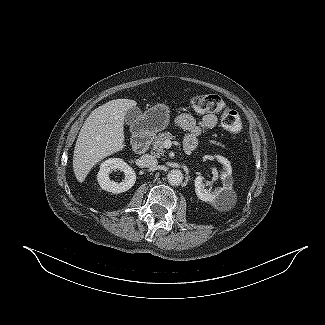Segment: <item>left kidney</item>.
<instances>
[{
    "mask_svg": "<svg viewBox=\"0 0 325 325\" xmlns=\"http://www.w3.org/2000/svg\"><path fill=\"white\" fill-rule=\"evenodd\" d=\"M216 159L223 164L224 172L221 174V180L223 187L212 192L211 190L205 189V184L203 183V177L197 176L194 181L195 192L197 197L208 203H216L222 196H224L227 192L232 191L233 178H232V167L227 158L223 156H216Z\"/></svg>",
    "mask_w": 325,
    "mask_h": 325,
    "instance_id": "1",
    "label": "left kidney"
}]
</instances>
